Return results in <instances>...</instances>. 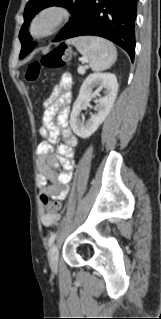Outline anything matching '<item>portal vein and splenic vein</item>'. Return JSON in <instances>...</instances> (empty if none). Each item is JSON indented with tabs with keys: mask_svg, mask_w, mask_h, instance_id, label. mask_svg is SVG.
<instances>
[{
	"mask_svg": "<svg viewBox=\"0 0 161 319\" xmlns=\"http://www.w3.org/2000/svg\"><path fill=\"white\" fill-rule=\"evenodd\" d=\"M78 73L84 74L85 73V69L83 67H79L78 68Z\"/></svg>",
	"mask_w": 161,
	"mask_h": 319,
	"instance_id": "portal-vein-and-splenic-vein-1",
	"label": "portal vein and splenic vein"
}]
</instances>
